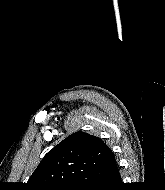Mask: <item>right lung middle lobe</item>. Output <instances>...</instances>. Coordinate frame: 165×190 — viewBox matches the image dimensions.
<instances>
[{"mask_svg": "<svg viewBox=\"0 0 165 190\" xmlns=\"http://www.w3.org/2000/svg\"><path fill=\"white\" fill-rule=\"evenodd\" d=\"M81 181L49 188V190H80Z\"/></svg>", "mask_w": 165, "mask_h": 190, "instance_id": "right-lung-middle-lobe-1", "label": "right lung middle lobe"}]
</instances>
